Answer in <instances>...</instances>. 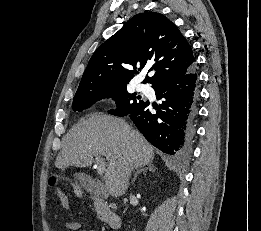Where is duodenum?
Returning a JSON list of instances; mask_svg holds the SVG:
<instances>
[{
  "mask_svg": "<svg viewBox=\"0 0 261 231\" xmlns=\"http://www.w3.org/2000/svg\"><path fill=\"white\" fill-rule=\"evenodd\" d=\"M94 206L101 216V218L112 228V229H119L121 222L119 216L114 213L110 207L108 206L105 199L101 196H93L92 197Z\"/></svg>",
  "mask_w": 261,
  "mask_h": 231,
  "instance_id": "obj_1",
  "label": "duodenum"
}]
</instances>
